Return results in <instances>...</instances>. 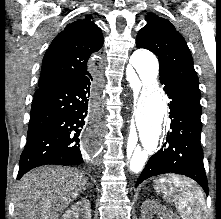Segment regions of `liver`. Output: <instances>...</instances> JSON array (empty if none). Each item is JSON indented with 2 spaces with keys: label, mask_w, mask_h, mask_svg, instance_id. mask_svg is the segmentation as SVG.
Instances as JSON below:
<instances>
[{
  "label": "liver",
  "mask_w": 221,
  "mask_h": 219,
  "mask_svg": "<svg viewBox=\"0 0 221 219\" xmlns=\"http://www.w3.org/2000/svg\"><path fill=\"white\" fill-rule=\"evenodd\" d=\"M86 184L84 174L73 168H36L17 184L15 219H58Z\"/></svg>",
  "instance_id": "obj_1"
}]
</instances>
